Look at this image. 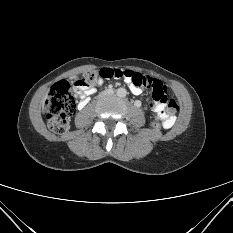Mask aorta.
<instances>
[{"label":"aorta","mask_w":233,"mask_h":233,"mask_svg":"<svg viewBox=\"0 0 233 233\" xmlns=\"http://www.w3.org/2000/svg\"><path fill=\"white\" fill-rule=\"evenodd\" d=\"M126 94H127L126 89H124V88H118V89H117V95H118L119 97H125Z\"/></svg>","instance_id":"762f6f07"}]
</instances>
